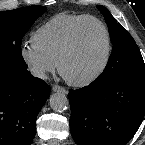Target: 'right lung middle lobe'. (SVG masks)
I'll list each match as a JSON object with an SVG mask.
<instances>
[{"label": "right lung middle lobe", "mask_w": 145, "mask_h": 145, "mask_svg": "<svg viewBox=\"0 0 145 145\" xmlns=\"http://www.w3.org/2000/svg\"><path fill=\"white\" fill-rule=\"evenodd\" d=\"M45 11L44 6H28L0 12V78L17 76L27 70L21 41Z\"/></svg>", "instance_id": "dd1d6c3e"}]
</instances>
